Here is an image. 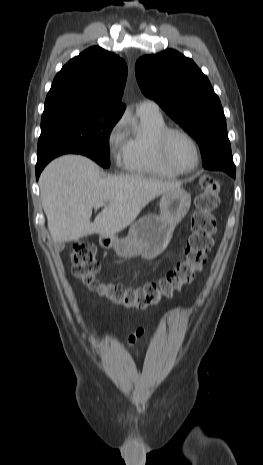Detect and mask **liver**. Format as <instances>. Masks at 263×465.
<instances>
[{
  "mask_svg": "<svg viewBox=\"0 0 263 465\" xmlns=\"http://www.w3.org/2000/svg\"><path fill=\"white\" fill-rule=\"evenodd\" d=\"M48 229L55 243L87 235L113 236L134 222L153 199L181 182L141 175L102 178L99 166L87 157L64 155L43 170L39 180ZM108 203L91 222L92 208Z\"/></svg>",
  "mask_w": 263,
  "mask_h": 465,
  "instance_id": "1",
  "label": "liver"
}]
</instances>
